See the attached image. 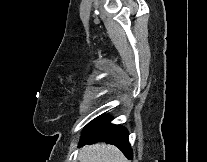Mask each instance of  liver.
<instances>
[{"mask_svg": "<svg viewBox=\"0 0 207 162\" xmlns=\"http://www.w3.org/2000/svg\"><path fill=\"white\" fill-rule=\"evenodd\" d=\"M78 160L79 162H129L117 147L107 143L84 146Z\"/></svg>", "mask_w": 207, "mask_h": 162, "instance_id": "1", "label": "liver"}]
</instances>
